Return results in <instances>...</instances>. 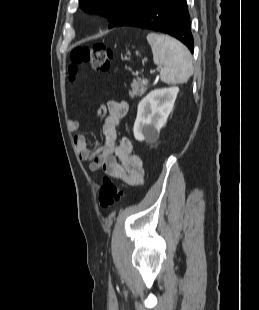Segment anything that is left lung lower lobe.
I'll return each instance as SVG.
<instances>
[{"label": "left lung lower lobe", "instance_id": "obj_1", "mask_svg": "<svg viewBox=\"0 0 259 310\" xmlns=\"http://www.w3.org/2000/svg\"><path fill=\"white\" fill-rule=\"evenodd\" d=\"M117 26L163 32L180 40L192 53L194 51L186 0H150L128 12L113 27Z\"/></svg>", "mask_w": 259, "mask_h": 310}]
</instances>
